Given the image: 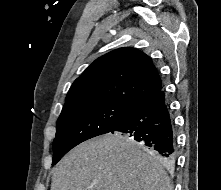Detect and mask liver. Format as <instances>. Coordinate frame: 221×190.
I'll use <instances>...</instances> for the list:
<instances>
[{"label": "liver", "instance_id": "1", "mask_svg": "<svg viewBox=\"0 0 221 190\" xmlns=\"http://www.w3.org/2000/svg\"><path fill=\"white\" fill-rule=\"evenodd\" d=\"M51 190H173L163 165L116 132L69 151L52 171Z\"/></svg>", "mask_w": 221, "mask_h": 190}]
</instances>
